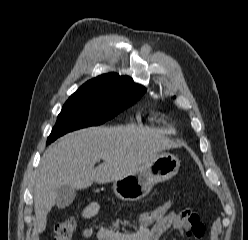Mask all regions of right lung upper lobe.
<instances>
[{"instance_id": "obj_1", "label": "right lung upper lobe", "mask_w": 248, "mask_h": 240, "mask_svg": "<svg viewBox=\"0 0 248 240\" xmlns=\"http://www.w3.org/2000/svg\"><path fill=\"white\" fill-rule=\"evenodd\" d=\"M130 81L133 80L128 76H119L117 73H108L87 81L78 90L112 89Z\"/></svg>"}]
</instances>
